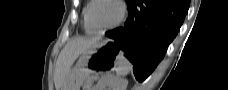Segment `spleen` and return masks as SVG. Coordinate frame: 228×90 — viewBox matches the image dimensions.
Segmentation results:
<instances>
[{"mask_svg":"<svg viewBox=\"0 0 228 90\" xmlns=\"http://www.w3.org/2000/svg\"><path fill=\"white\" fill-rule=\"evenodd\" d=\"M132 70L130 62L121 54L117 60V66L115 68L116 75L118 77L126 76Z\"/></svg>","mask_w":228,"mask_h":90,"instance_id":"spleen-1","label":"spleen"}]
</instances>
